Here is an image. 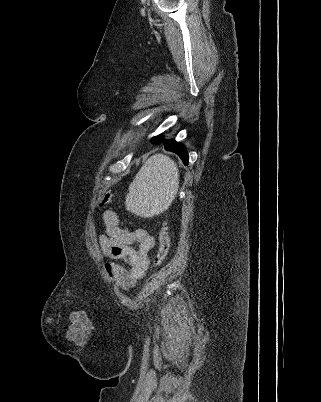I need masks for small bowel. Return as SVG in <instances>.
<instances>
[{"instance_id": "1", "label": "small bowel", "mask_w": 321, "mask_h": 402, "mask_svg": "<svg viewBox=\"0 0 321 402\" xmlns=\"http://www.w3.org/2000/svg\"><path fill=\"white\" fill-rule=\"evenodd\" d=\"M105 232L98 238L102 253L110 260L105 271L110 279L125 290L133 288L145 275L150 265L149 251L155 246L154 237L146 229L130 231L121 225L116 212L106 210L101 214ZM69 322L68 339L75 341L78 351H83L90 338L92 323L85 319V312H73Z\"/></svg>"}]
</instances>
